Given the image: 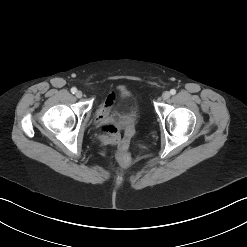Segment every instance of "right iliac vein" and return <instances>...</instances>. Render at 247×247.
I'll return each mask as SVG.
<instances>
[{
  "instance_id": "obj_1",
  "label": "right iliac vein",
  "mask_w": 247,
  "mask_h": 247,
  "mask_svg": "<svg viewBox=\"0 0 247 247\" xmlns=\"http://www.w3.org/2000/svg\"><path fill=\"white\" fill-rule=\"evenodd\" d=\"M83 96V93L81 91L76 92V97L81 98Z\"/></svg>"
}]
</instances>
